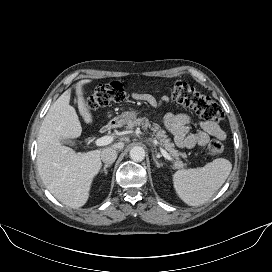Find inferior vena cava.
<instances>
[{
  "instance_id": "1",
  "label": "inferior vena cava",
  "mask_w": 272,
  "mask_h": 272,
  "mask_svg": "<svg viewBox=\"0 0 272 272\" xmlns=\"http://www.w3.org/2000/svg\"><path fill=\"white\" fill-rule=\"evenodd\" d=\"M117 158V151L114 148L108 147L101 151V160L106 164H112Z\"/></svg>"
}]
</instances>
